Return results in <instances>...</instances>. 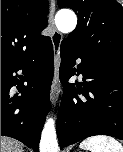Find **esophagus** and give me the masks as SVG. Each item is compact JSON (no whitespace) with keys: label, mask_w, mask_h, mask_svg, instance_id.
Instances as JSON below:
<instances>
[{"label":"esophagus","mask_w":123,"mask_h":152,"mask_svg":"<svg viewBox=\"0 0 123 152\" xmlns=\"http://www.w3.org/2000/svg\"><path fill=\"white\" fill-rule=\"evenodd\" d=\"M54 15H55V2L54 0H51L48 19H49V25L52 29L51 40H52L53 50H54V76H53V81H52L51 90H50V101L52 105H55L59 92H60L58 88V82H59V70H60V63H61L60 47H61V42H62V35L55 28Z\"/></svg>","instance_id":"34e87169"}]
</instances>
